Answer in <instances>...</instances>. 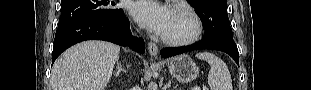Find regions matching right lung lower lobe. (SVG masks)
I'll return each mask as SVG.
<instances>
[{
	"label": "right lung lower lobe",
	"instance_id": "1",
	"mask_svg": "<svg viewBox=\"0 0 311 90\" xmlns=\"http://www.w3.org/2000/svg\"><path fill=\"white\" fill-rule=\"evenodd\" d=\"M85 40H105L144 53L142 38L132 36L128 18L124 12L115 18H85L59 26L52 53V64L70 46Z\"/></svg>",
	"mask_w": 311,
	"mask_h": 90
}]
</instances>
